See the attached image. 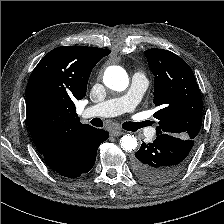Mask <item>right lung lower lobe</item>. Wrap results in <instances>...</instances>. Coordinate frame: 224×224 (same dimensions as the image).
Returning a JSON list of instances; mask_svg holds the SVG:
<instances>
[{"label": "right lung lower lobe", "instance_id": "98d812e1", "mask_svg": "<svg viewBox=\"0 0 224 224\" xmlns=\"http://www.w3.org/2000/svg\"><path fill=\"white\" fill-rule=\"evenodd\" d=\"M109 134L94 127L83 129L65 138L50 153L43 155L46 164L56 173L76 178L89 172L96 160L99 145Z\"/></svg>", "mask_w": 224, "mask_h": 224}]
</instances>
